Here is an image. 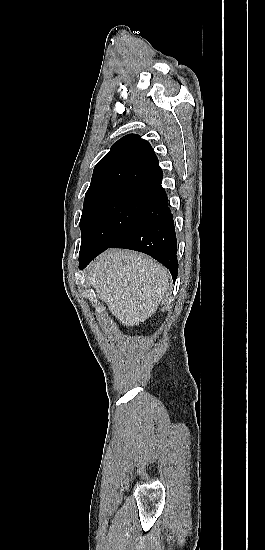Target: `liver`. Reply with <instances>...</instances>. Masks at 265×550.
Instances as JSON below:
<instances>
[{
  "label": "liver",
  "mask_w": 265,
  "mask_h": 550,
  "mask_svg": "<svg viewBox=\"0 0 265 550\" xmlns=\"http://www.w3.org/2000/svg\"><path fill=\"white\" fill-rule=\"evenodd\" d=\"M88 281L112 315L133 327L156 312L170 288L171 276L147 255L115 249L90 264Z\"/></svg>",
  "instance_id": "obj_1"
}]
</instances>
